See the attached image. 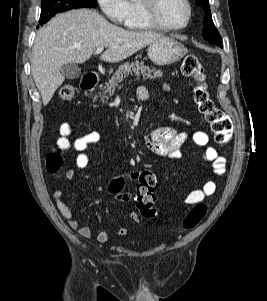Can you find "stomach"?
<instances>
[{
    "instance_id": "0dacf381",
    "label": "stomach",
    "mask_w": 267,
    "mask_h": 301,
    "mask_svg": "<svg viewBox=\"0 0 267 301\" xmlns=\"http://www.w3.org/2000/svg\"><path fill=\"white\" fill-rule=\"evenodd\" d=\"M147 54L153 63L168 65L182 59L187 54V49L173 38L161 37L148 46Z\"/></svg>"
}]
</instances>
